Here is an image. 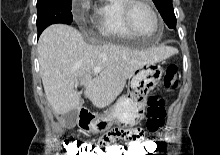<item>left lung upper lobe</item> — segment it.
<instances>
[{
    "instance_id": "left-lung-upper-lobe-1",
    "label": "left lung upper lobe",
    "mask_w": 220,
    "mask_h": 155,
    "mask_svg": "<svg viewBox=\"0 0 220 155\" xmlns=\"http://www.w3.org/2000/svg\"><path fill=\"white\" fill-rule=\"evenodd\" d=\"M163 20L171 29L176 27V17L173 10L172 0H153Z\"/></svg>"
}]
</instances>
